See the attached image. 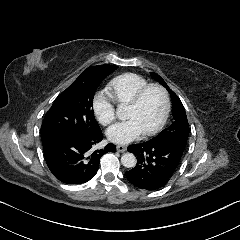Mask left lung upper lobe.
Segmentation results:
<instances>
[{
	"label": "left lung upper lobe",
	"instance_id": "1",
	"mask_svg": "<svg viewBox=\"0 0 240 240\" xmlns=\"http://www.w3.org/2000/svg\"><path fill=\"white\" fill-rule=\"evenodd\" d=\"M150 74L169 91L172 99L174 121L170 127L164 129L156 137L149 140V142H177L186 147L189 136V124L184 106L179 97L168 87L158 74L154 72H150Z\"/></svg>",
	"mask_w": 240,
	"mask_h": 240
}]
</instances>
